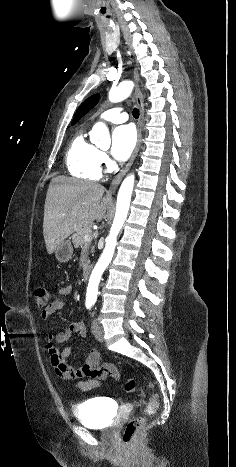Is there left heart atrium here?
<instances>
[{
  "label": "left heart atrium",
  "mask_w": 236,
  "mask_h": 467,
  "mask_svg": "<svg viewBox=\"0 0 236 467\" xmlns=\"http://www.w3.org/2000/svg\"><path fill=\"white\" fill-rule=\"evenodd\" d=\"M136 142L135 131L130 125H120L113 130L111 154L117 161H125L131 155Z\"/></svg>",
  "instance_id": "1"
}]
</instances>
